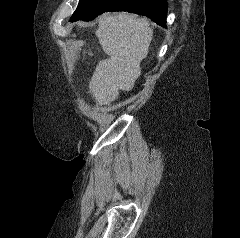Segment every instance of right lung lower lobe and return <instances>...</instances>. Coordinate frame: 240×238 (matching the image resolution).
Listing matches in <instances>:
<instances>
[{
    "label": "right lung lower lobe",
    "instance_id": "1",
    "mask_svg": "<svg viewBox=\"0 0 240 238\" xmlns=\"http://www.w3.org/2000/svg\"><path fill=\"white\" fill-rule=\"evenodd\" d=\"M166 0H120L109 11H127L146 16L158 25L166 26Z\"/></svg>",
    "mask_w": 240,
    "mask_h": 238
}]
</instances>
